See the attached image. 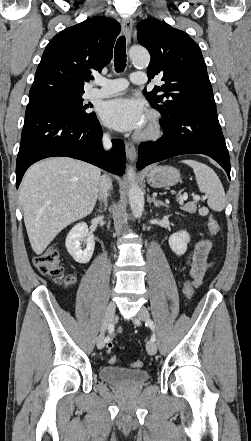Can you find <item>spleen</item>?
Masks as SVG:
<instances>
[{
    "mask_svg": "<svg viewBox=\"0 0 251 441\" xmlns=\"http://www.w3.org/2000/svg\"><path fill=\"white\" fill-rule=\"evenodd\" d=\"M182 162L193 168L199 190L208 196V206L214 211H222L225 207L226 197L223 185L214 170L208 165L192 159H185Z\"/></svg>",
    "mask_w": 251,
    "mask_h": 441,
    "instance_id": "spleen-1",
    "label": "spleen"
}]
</instances>
